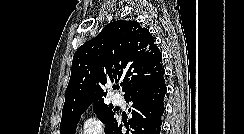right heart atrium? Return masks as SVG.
<instances>
[{"label": "right heart atrium", "mask_w": 244, "mask_h": 134, "mask_svg": "<svg viewBox=\"0 0 244 134\" xmlns=\"http://www.w3.org/2000/svg\"><path fill=\"white\" fill-rule=\"evenodd\" d=\"M78 134H105V127L99 117L90 116L83 121Z\"/></svg>", "instance_id": "d8ad5b80"}]
</instances>
